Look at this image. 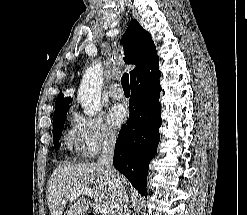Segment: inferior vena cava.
Segmentation results:
<instances>
[{"instance_id": "602c4592", "label": "inferior vena cava", "mask_w": 247, "mask_h": 215, "mask_svg": "<svg viewBox=\"0 0 247 215\" xmlns=\"http://www.w3.org/2000/svg\"><path fill=\"white\" fill-rule=\"evenodd\" d=\"M115 150V140L106 139L103 142L102 152L98 158V167L104 170L106 180L114 189V197L111 205L112 215H129L127 203L128 198L126 191L119 180V175L113 167V156Z\"/></svg>"}]
</instances>
